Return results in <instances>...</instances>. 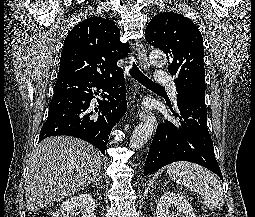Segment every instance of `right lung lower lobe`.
<instances>
[{"mask_svg": "<svg viewBox=\"0 0 255 217\" xmlns=\"http://www.w3.org/2000/svg\"><path fill=\"white\" fill-rule=\"evenodd\" d=\"M99 90H103L104 94ZM102 96L94 109L90 102ZM126 90L123 73L108 79L57 80L39 141L55 135L83 139L103 154L112 128L125 114Z\"/></svg>", "mask_w": 255, "mask_h": 217, "instance_id": "98d812e1", "label": "right lung lower lobe"}]
</instances>
